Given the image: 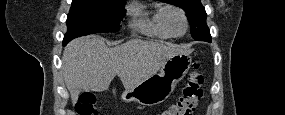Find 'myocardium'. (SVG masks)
<instances>
[{
  "instance_id": "1",
  "label": "myocardium",
  "mask_w": 285,
  "mask_h": 115,
  "mask_svg": "<svg viewBox=\"0 0 285 115\" xmlns=\"http://www.w3.org/2000/svg\"><path fill=\"white\" fill-rule=\"evenodd\" d=\"M169 11H177L180 13V15L182 16V19H183V22H184V30L181 32V33H174L171 31V29L169 28L168 26V23H167V20H166V16H167V13ZM160 19H161V23L164 27V29L172 36V37H180L182 35H184L187 30H188V26H189V23H188V18H187V15H186V12L178 7V6H175V5H167L165 7L162 8L161 10V14H160Z\"/></svg>"
}]
</instances>
